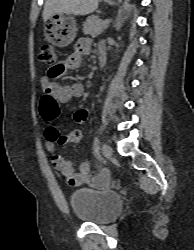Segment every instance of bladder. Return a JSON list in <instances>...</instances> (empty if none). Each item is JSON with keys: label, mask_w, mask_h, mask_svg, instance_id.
I'll list each match as a JSON object with an SVG mask.
<instances>
[{"label": "bladder", "mask_w": 194, "mask_h": 250, "mask_svg": "<svg viewBox=\"0 0 194 250\" xmlns=\"http://www.w3.org/2000/svg\"><path fill=\"white\" fill-rule=\"evenodd\" d=\"M69 203L79 220L99 225L115 219L122 209V199L117 193L91 188L71 192Z\"/></svg>", "instance_id": "31cf9c89"}]
</instances>
